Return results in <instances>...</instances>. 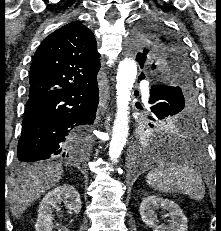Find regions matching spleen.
Returning <instances> with one entry per match:
<instances>
[{"label":"spleen","mask_w":221,"mask_h":231,"mask_svg":"<svg viewBox=\"0 0 221 231\" xmlns=\"http://www.w3.org/2000/svg\"><path fill=\"white\" fill-rule=\"evenodd\" d=\"M146 183L161 193H181L194 200H202L205 188L201 175L188 164L162 160L152 168Z\"/></svg>","instance_id":"3e777b00"}]
</instances>
